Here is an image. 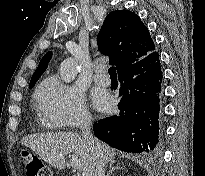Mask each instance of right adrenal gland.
Returning a JSON list of instances; mask_svg holds the SVG:
<instances>
[{"label":"right adrenal gland","mask_w":205,"mask_h":176,"mask_svg":"<svg viewBox=\"0 0 205 176\" xmlns=\"http://www.w3.org/2000/svg\"><path fill=\"white\" fill-rule=\"evenodd\" d=\"M115 161H111L109 163V171L107 173V176H111V174L118 169H123V167H119V166H114Z\"/></svg>","instance_id":"2a0ac1e0"}]
</instances>
